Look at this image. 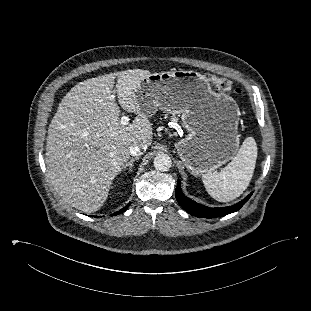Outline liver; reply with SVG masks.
Instances as JSON below:
<instances>
[{
    "instance_id": "6515ba94",
    "label": "liver",
    "mask_w": 311,
    "mask_h": 311,
    "mask_svg": "<svg viewBox=\"0 0 311 311\" xmlns=\"http://www.w3.org/2000/svg\"><path fill=\"white\" fill-rule=\"evenodd\" d=\"M151 73L129 69L87 79L62 99L49 128L47 173L60 197L86 213L106 201L110 186L130 158V147L151 145L152 124L136 101V89ZM120 106L136 115L123 126Z\"/></svg>"
}]
</instances>
